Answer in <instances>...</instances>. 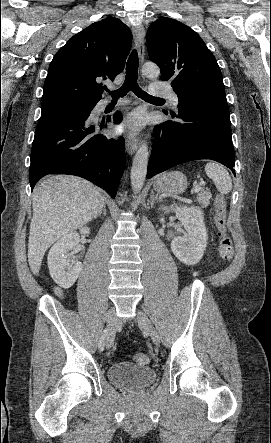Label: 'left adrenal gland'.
I'll list each match as a JSON object with an SVG mask.
<instances>
[{"mask_svg":"<svg viewBox=\"0 0 271 443\" xmlns=\"http://www.w3.org/2000/svg\"><path fill=\"white\" fill-rule=\"evenodd\" d=\"M155 200H157V202H163L162 198L155 196L153 190H151V208H153Z\"/></svg>","mask_w":271,"mask_h":443,"instance_id":"left-adrenal-gland-1","label":"left adrenal gland"}]
</instances>
